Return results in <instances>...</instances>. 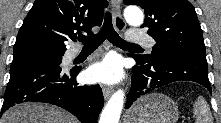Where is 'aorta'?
Returning a JSON list of instances; mask_svg holds the SVG:
<instances>
[{"label":"aorta","instance_id":"obj_1","mask_svg":"<svg viewBox=\"0 0 221 123\" xmlns=\"http://www.w3.org/2000/svg\"><path fill=\"white\" fill-rule=\"evenodd\" d=\"M124 17L126 21L133 26H139L143 23V12L135 6H129L124 10ZM124 91H116L107 104L105 105L99 123H118L124 104Z\"/></svg>","mask_w":221,"mask_h":123}]
</instances>
